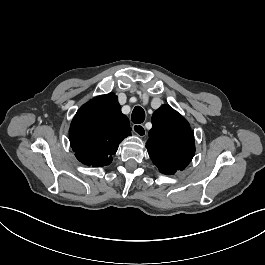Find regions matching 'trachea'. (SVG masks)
Wrapping results in <instances>:
<instances>
[{
  "label": "trachea",
  "mask_w": 265,
  "mask_h": 265,
  "mask_svg": "<svg viewBox=\"0 0 265 265\" xmlns=\"http://www.w3.org/2000/svg\"><path fill=\"white\" fill-rule=\"evenodd\" d=\"M132 122L135 124H140L145 120V112L143 108L137 106L134 108L131 115Z\"/></svg>",
  "instance_id": "3493384b"
}]
</instances>
